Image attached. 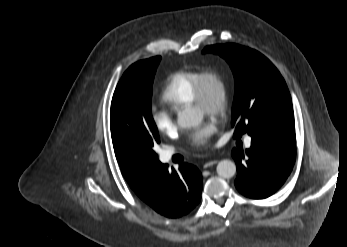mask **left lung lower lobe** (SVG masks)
Here are the masks:
<instances>
[{
  "label": "left lung lower lobe",
  "mask_w": 347,
  "mask_h": 247,
  "mask_svg": "<svg viewBox=\"0 0 347 247\" xmlns=\"http://www.w3.org/2000/svg\"><path fill=\"white\" fill-rule=\"evenodd\" d=\"M245 152L234 148L237 166L235 186L243 195L263 199L274 194L291 173L296 156V135L267 131L251 136Z\"/></svg>",
  "instance_id": "1"
}]
</instances>
